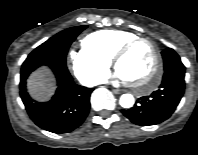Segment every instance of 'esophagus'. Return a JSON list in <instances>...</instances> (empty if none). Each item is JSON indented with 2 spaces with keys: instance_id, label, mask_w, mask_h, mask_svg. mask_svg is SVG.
<instances>
[{
  "instance_id": "1",
  "label": "esophagus",
  "mask_w": 198,
  "mask_h": 155,
  "mask_svg": "<svg viewBox=\"0 0 198 155\" xmlns=\"http://www.w3.org/2000/svg\"><path fill=\"white\" fill-rule=\"evenodd\" d=\"M113 93H115V94H120V93H121V90L113 89Z\"/></svg>"
}]
</instances>
